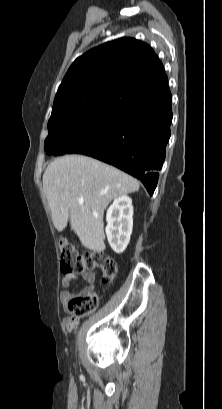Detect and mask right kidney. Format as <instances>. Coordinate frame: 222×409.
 Returning a JSON list of instances; mask_svg holds the SVG:
<instances>
[{
    "instance_id": "1",
    "label": "right kidney",
    "mask_w": 222,
    "mask_h": 409,
    "mask_svg": "<svg viewBox=\"0 0 222 409\" xmlns=\"http://www.w3.org/2000/svg\"><path fill=\"white\" fill-rule=\"evenodd\" d=\"M106 235L115 253H122L130 241L133 228L132 199L127 195L116 198L107 210Z\"/></svg>"
}]
</instances>
